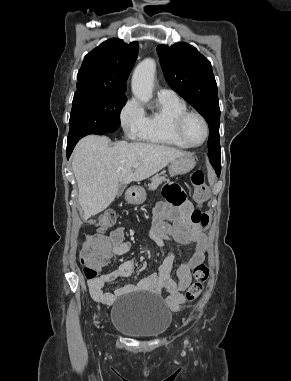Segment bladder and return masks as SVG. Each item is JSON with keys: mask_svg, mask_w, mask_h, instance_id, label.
I'll list each match as a JSON object with an SVG mask.
<instances>
[{"mask_svg": "<svg viewBox=\"0 0 291 381\" xmlns=\"http://www.w3.org/2000/svg\"><path fill=\"white\" fill-rule=\"evenodd\" d=\"M171 310L157 295L127 294L111 309L114 329L136 338H154L165 334L172 323Z\"/></svg>", "mask_w": 291, "mask_h": 381, "instance_id": "31cf9c89", "label": "bladder"}]
</instances>
